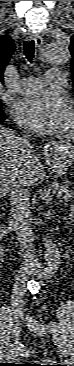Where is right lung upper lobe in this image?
<instances>
[{
    "label": "right lung upper lobe",
    "mask_w": 74,
    "mask_h": 366,
    "mask_svg": "<svg viewBox=\"0 0 74 366\" xmlns=\"http://www.w3.org/2000/svg\"><path fill=\"white\" fill-rule=\"evenodd\" d=\"M14 51V41L9 36H0V85L4 83L3 72Z\"/></svg>",
    "instance_id": "obj_1"
}]
</instances>
